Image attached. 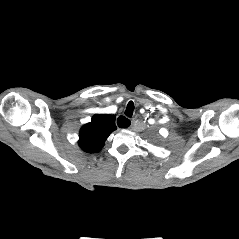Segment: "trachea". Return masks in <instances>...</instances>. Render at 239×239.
Wrapping results in <instances>:
<instances>
[{
    "instance_id": "obj_1",
    "label": "trachea",
    "mask_w": 239,
    "mask_h": 239,
    "mask_svg": "<svg viewBox=\"0 0 239 239\" xmlns=\"http://www.w3.org/2000/svg\"><path fill=\"white\" fill-rule=\"evenodd\" d=\"M134 111V103L132 101H129L127 104L126 110H125V115L128 117H132Z\"/></svg>"
}]
</instances>
